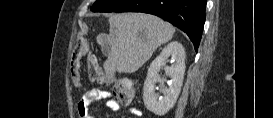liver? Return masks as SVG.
Listing matches in <instances>:
<instances>
[{
    "label": "liver",
    "mask_w": 273,
    "mask_h": 118,
    "mask_svg": "<svg viewBox=\"0 0 273 118\" xmlns=\"http://www.w3.org/2000/svg\"><path fill=\"white\" fill-rule=\"evenodd\" d=\"M106 42L111 52L104 62L106 76L137 71L153 52L173 38L175 28L160 18L144 13L114 14L109 18Z\"/></svg>",
    "instance_id": "1"
}]
</instances>
